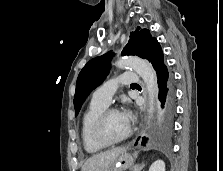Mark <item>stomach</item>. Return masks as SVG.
<instances>
[{
	"label": "stomach",
	"instance_id": "1",
	"mask_svg": "<svg viewBox=\"0 0 223 171\" xmlns=\"http://www.w3.org/2000/svg\"><path fill=\"white\" fill-rule=\"evenodd\" d=\"M132 164V156L126 151L121 153L114 163L105 171H125Z\"/></svg>",
	"mask_w": 223,
	"mask_h": 171
}]
</instances>
